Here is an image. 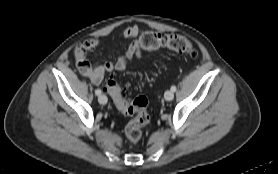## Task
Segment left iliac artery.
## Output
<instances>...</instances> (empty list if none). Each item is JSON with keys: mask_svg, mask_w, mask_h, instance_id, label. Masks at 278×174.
Returning <instances> with one entry per match:
<instances>
[{"mask_svg": "<svg viewBox=\"0 0 278 174\" xmlns=\"http://www.w3.org/2000/svg\"><path fill=\"white\" fill-rule=\"evenodd\" d=\"M171 91L175 92L176 91V86H171Z\"/></svg>", "mask_w": 278, "mask_h": 174, "instance_id": "44dca946", "label": "left iliac artery"}]
</instances>
